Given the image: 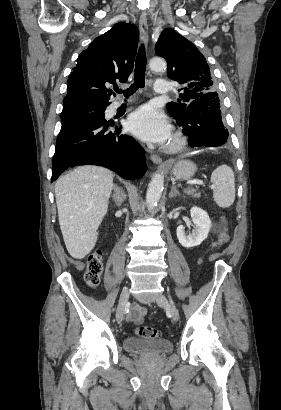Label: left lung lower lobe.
<instances>
[{"label": "left lung lower lobe", "mask_w": 281, "mask_h": 410, "mask_svg": "<svg viewBox=\"0 0 281 410\" xmlns=\"http://www.w3.org/2000/svg\"><path fill=\"white\" fill-rule=\"evenodd\" d=\"M191 147H217L227 141L228 130L222 122L219 98H203L192 101L182 123Z\"/></svg>", "instance_id": "0a47b994"}]
</instances>
